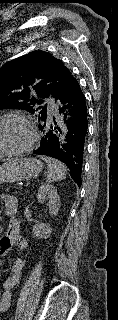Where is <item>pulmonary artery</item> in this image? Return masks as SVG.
Wrapping results in <instances>:
<instances>
[{
    "mask_svg": "<svg viewBox=\"0 0 118 320\" xmlns=\"http://www.w3.org/2000/svg\"><path fill=\"white\" fill-rule=\"evenodd\" d=\"M47 108L51 114H54L56 112L55 106L52 103H48Z\"/></svg>",
    "mask_w": 118,
    "mask_h": 320,
    "instance_id": "pulmonary-artery-1",
    "label": "pulmonary artery"
}]
</instances>
